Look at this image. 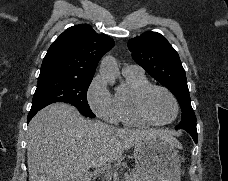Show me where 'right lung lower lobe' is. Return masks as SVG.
<instances>
[{
	"instance_id": "right-lung-lower-lobe-1",
	"label": "right lung lower lobe",
	"mask_w": 228,
	"mask_h": 181,
	"mask_svg": "<svg viewBox=\"0 0 228 181\" xmlns=\"http://www.w3.org/2000/svg\"><path fill=\"white\" fill-rule=\"evenodd\" d=\"M39 110H30V113L28 114L27 120L28 122L32 119V117L38 112Z\"/></svg>"
}]
</instances>
